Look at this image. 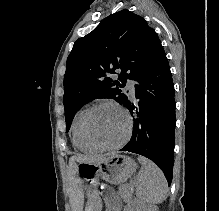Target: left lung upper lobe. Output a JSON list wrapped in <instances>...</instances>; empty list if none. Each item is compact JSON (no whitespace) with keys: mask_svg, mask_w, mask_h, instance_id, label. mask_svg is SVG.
Returning a JSON list of instances; mask_svg holds the SVG:
<instances>
[{"mask_svg":"<svg viewBox=\"0 0 219 211\" xmlns=\"http://www.w3.org/2000/svg\"><path fill=\"white\" fill-rule=\"evenodd\" d=\"M164 49L147 22L126 9L111 14L88 35L79 38L67 58L64 76L66 131L76 112L98 98L123 104L126 80H136L153 64ZM120 72L118 80L110 74Z\"/></svg>","mask_w":219,"mask_h":211,"instance_id":"obj_1","label":"left lung upper lobe"}]
</instances>
